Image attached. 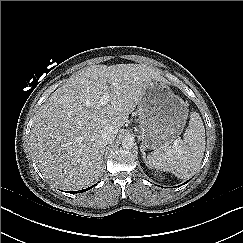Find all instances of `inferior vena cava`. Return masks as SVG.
Listing matches in <instances>:
<instances>
[{"mask_svg": "<svg viewBox=\"0 0 243 243\" xmlns=\"http://www.w3.org/2000/svg\"><path fill=\"white\" fill-rule=\"evenodd\" d=\"M118 133V128L114 126H108L101 134V139L105 144H111Z\"/></svg>", "mask_w": 243, "mask_h": 243, "instance_id": "obj_1", "label": "inferior vena cava"}]
</instances>
